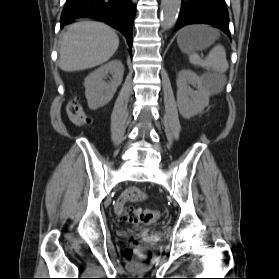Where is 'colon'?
Listing matches in <instances>:
<instances>
[{
    "label": "colon",
    "mask_w": 279,
    "mask_h": 279,
    "mask_svg": "<svg viewBox=\"0 0 279 279\" xmlns=\"http://www.w3.org/2000/svg\"><path fill=\"white\" fill-rule=\"evenodd\" d=\"M70 121L76 126H85L90 123V117L85 113L77 98H72L66 106ZM122 218L132 224H151L158 220L159 213L153 209L146 208H123ZM126 255L133 260L148 262L151 253L144 247L143 240L138 235H130L127 238Z\"/></svg>",
    "instance_id": "colon-1"
}]
</instances>
